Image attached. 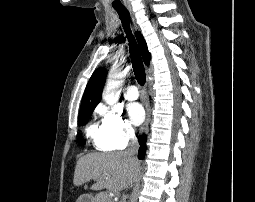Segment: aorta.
Here are the masks:
<instances>
[{
	"label": "aorta",
	"mask_w": 255,
	"mask_h": 202,
	"mask_svg": "<svg viewBox=\"0 0 255 202\" xmlns=\"http://www.w3.org/2000/svg\"><path fill=\"white\" fill-rule=\"evenodd\" d=\"M124 74L121 63H115L110 70L107 88L103 93V99L106 103L113 104L118 99Z\"/></svg>",
	"instance_id": "1"
}]
</instances>
